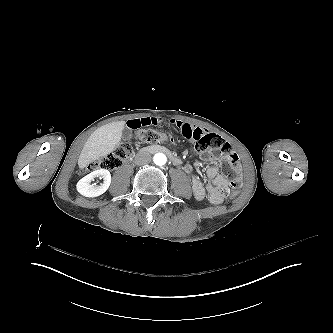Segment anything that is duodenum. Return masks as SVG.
Returning <instances> with one entry per match:
<instances>
[{
  "label": "duodenum",
  "instance_id": "duodenum-1",
  "mask_svg": "<svg viewBox=\"0 0 333 333\" xmlns=\"http://www.w3.org/2000/svg\"><path fill=\"white\" fill-rule=\"evenodd\" d=\"M139 153H141V154L163 153V154L167 155L175 165L181 164V160L177 156H175L170 150H168L166 147H163V146L154 145V146L145 147V148L141 149L139 151Z\"/></svg>",
  "mask_w": 333,
  "mask_h": 333
}]
</instances>
